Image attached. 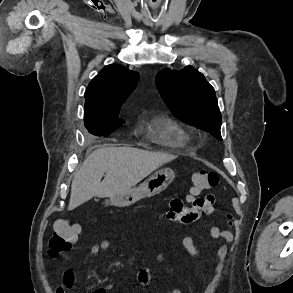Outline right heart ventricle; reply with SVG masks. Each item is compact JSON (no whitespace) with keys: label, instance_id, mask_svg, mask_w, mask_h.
Instances as JSON below:
<instances>
[{"label":"right heart ventricle","instance_id":"1","mask_svg":"<svg viewBox=\"0 0 293 293\" xmlns=\"http://www.w3.org/2000/svg\"><path fill=\"white\" fill-rule=\"evenodd\" d=\"M151 136L164 146L181 147L190 138L183 125L170 117H158L150 126Z\"/></svg>","mask_w":293,"mask_h":293}]
</instances>
